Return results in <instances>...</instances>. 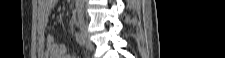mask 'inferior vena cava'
I'll use <instances>...</instances> for the list:
<instances>
[{"label":"inferior vena cava","mask_w":225,"mask_h":58,"mask_svg":"<svg viewBox=\"0 0 225 58\" xmlns=\"http://www.w3.org/2000/svg\"><path fill=\"white\" fill-rule=\"evenodd\" d=\"M78 2H79V3H78V4H79V8H78L79 14H80V15H83L82 6H83V2H84V1L80 0V1H78Z\"/></svg>","instance_id":"602c4592"}]
</instances>
